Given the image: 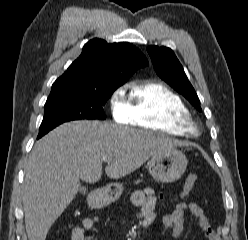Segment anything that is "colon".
Masks as SVG:
<instances>
[{
    "instance_id": "1",
    "label": "colon",
    "mask_w": 248,
    "mask_h": 240,
    "mask_svg": "<svg viewBox=\"0 0 248 240\" xmlns=\"http://www.w3.org/2000/svg\"><path fill=\"white\" fill-rule=\"evenodd\" d=\"M197 176L195 174H189L186 178L182 194H187L195 185Z\"/></svg>"
}]
</instances>
